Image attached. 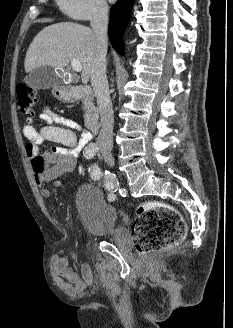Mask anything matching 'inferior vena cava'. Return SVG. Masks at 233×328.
<instances>
[{"label":"inferior vena cava","instance_id":"1","mask_svg":"<svg viewBox=\"0 0 233 328\" xmlns=\"http://www.w3.org/2000/svg\"><path fill=\"white\" fill-rule=\"evenodd\" d=\"M90 25L96 35V53L91 66V85L93 87L101 118V130L97 146L103 153H110L113 147L114 116L106 77L108 5L101 0L94 6Z\"/></svg>","mask_w":233,"mask_h":328}]
</instances>
